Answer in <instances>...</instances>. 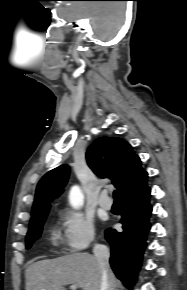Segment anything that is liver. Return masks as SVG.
I'll return each mask as SVG.
<instances>
[{
  "label": "liver",
  "instance_id": "1",
  "mask_svg": "<svg viewBox=\"0 0 187 290\" xmlns=\"http://www.w3.org/2000/svg\"><path fill=\"white\" fill-rule=\"evenodd\" d=\"M102 270L95 256L74 253L37 261L26 269V290H66L77 285L82 290H101ZM118 280L108 270V290H117Z\"/></svg>",
  "mask_w": 187,
  "mask_h": 290
}]
</instances>
